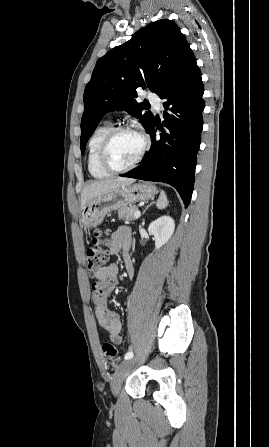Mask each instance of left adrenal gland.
<instances>
[{
	"instance_id": "1",
	"label": "left adrenal gland",
	"mask_w": 269,
	"mask_h": 447,
	"mask_svg": "<svg viewBox=\"0 0 269 447\" xmlns=\"http://www.w3.org/2000/svg\"><path fill=\"white\" fill-rule=\"evenodd\" d=\"M149 206H151V204H149ZM149 206H147V208H149ZM147 208H145V210H147ZM145 210H144V212H145ZM144 212H143V214H144Z\"/></svg>"
}]
</instances>
